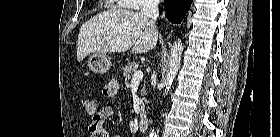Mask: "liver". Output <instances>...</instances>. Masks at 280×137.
Instances as JSON below:
<instances>
[{
	"label": "liver",
	"mask_w": 280,
	"mask_h": 137,
	"mask_svg": "<svg viewBox=\"0 0 280 137\" xmlns=\"http://www.w3.org/2000/svg\"><path fill=\"white\" fill-rule=\"evenodd\" d=\"M158 32L149 19L126 9H110L83 23L77 42V60L90 53H147L158 41Z\"/></svg>",
	"instance_id": "1"
}]
</instances>
